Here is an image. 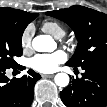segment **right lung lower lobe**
<instances>
[{
	"mask_svg": "<svg viewBox=\"0 0 107 107\" xmlns=\"http://www.w3.org/2000/svg\"><path fill=\"white\" fill-rule=\"evenodd\" d=\"M6 69L0 67V107H30L34 97V84L41 76L29 70L27 75L10 81L5 76Z\"/></svg>",
	"mask_w": 107,
	"mask_h": 107,
	"instance_id": "obj_1",
	"label": "right lung lower lobe"
}]
</instances>
